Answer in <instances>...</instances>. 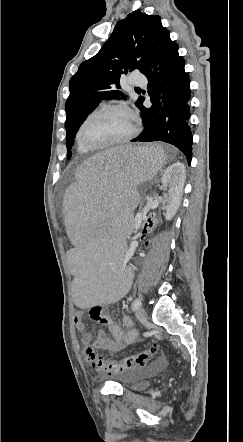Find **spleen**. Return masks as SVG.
<instances>
[{"label": "spleen", "mask_w": 243, "mask_h": 442, "mask_svg": "<svg viewBox=\"0 0 243 442\" xmlns=\"http://www.w3.org/2000/svg\"><path fill=\"white\" fill-rule=\"evenodd\" d=\"M167 156L161 146L104 147L86 163H79L63 193L70 242L71 296L75 307H103L112 296L133 291L132 266L123 252V239L132 237L131 214L141 209V184L162 178ZM123 192V193H94Z\"/></svg>", "instance_id": "1"}]
</instances>
